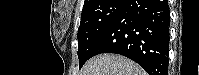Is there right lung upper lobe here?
Returning a JSON list of instances; mask_svg holds the SVG:
<instances>
[{"mask_svg":"<svg viewBox=\"0 0 199 75\" xmlns=\"http://www.w3.org/2000/svg\"><path fill=\"white\" fill-rule=\"evenodd\" d=\"M105 0H85L84 1V6L83 9L85 8H90L93 6H97L100 5L101 3H103Z\"/></svg>","mask_w":199,"mask_h":75,"instance_id":"obj_1","label":"right lung upper lobe"}]
</instances>
